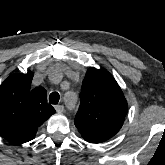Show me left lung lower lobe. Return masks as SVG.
I'll list each match as a JSON object with an SVG mask.
<instances>
[{
	"label": "left lung lower lobe",
	"instance_id": "obj_1",
	"mask_svg": "<svg viewBox=\"0 0 165 165\" xmlns=\"http://www.w3.org/2000/svg\"><path fill=\"white\" fill-rule=\"evenodd\" d=\"M85 139V138H84ZM86 141H88V142H90V143H93V142H91L90 140H87V139H85Z\"/></svg>",
	"mask_w": 165,
	"mask_h": 165
}]
</instances>
